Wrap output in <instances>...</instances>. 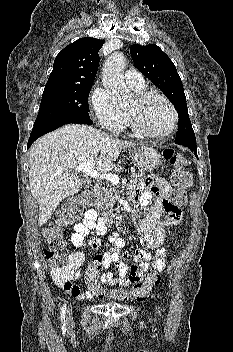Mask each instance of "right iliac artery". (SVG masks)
I'll list each match as a JSON object with an SVG mask.
<instances>
[{
	"label": "right iliac artery",
	"instance_id": "right-iliac-artery-1",
	"mask_svg": "<svg viewBox=\"0 0 233 352\" xmlns=\"http://www.w3.org/2000/svg\"><path fill=\"white\" fill-rule=\"evenodd\" d=\"M65 312H66V303L61 308V322H62V329L66 328V320H65Z\"/></svg>",
	"mask_w": 233,
	"mask_h": 352
}]
</instances>
